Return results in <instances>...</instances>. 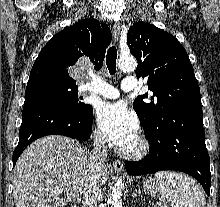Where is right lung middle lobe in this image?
Returning a JSON list of instances; mask_svg holds the SVG:
<instances>
[{
    "instance_id": "right-lung-middle-lobe-1",
    "label": "right lung middle lobe",
    "mask_w": 220,
    "mask_h": 207,
    "mask_svg": "<svg viewBox=\"0 0 220 207\" xmlns=\"http://www.w3.org/2000/svg\"><path fill=\"white\" fill-rule=\"evenodd\" d=\"M30 93H40L51 96L66 107L75 111H84L90 105L82 102L78 96V86L54 80H41L26 87L25 96Z\"/></svg>"
}]
</instances>
